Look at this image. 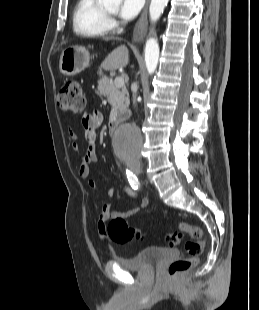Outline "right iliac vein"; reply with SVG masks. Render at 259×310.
I'll list each match as a JSON object with an SVG mask.
<instances>
[{"mask_svg": "<svg viewBox=\"0 0 259 310\" xmlns=\"http://www.w3.org/2000/svg\"><path fill=\"white\" fill-rule=\"evenodd\" d=\"M131 169H132L134 172H139L140 169H141V166H140V165H135V166H132Z\"/></svg>", "mask_w": 259, "mask_h": 310, "instance_id": "63e3f726", "label": "right iliac vein"}]
</instances>
